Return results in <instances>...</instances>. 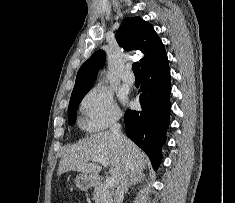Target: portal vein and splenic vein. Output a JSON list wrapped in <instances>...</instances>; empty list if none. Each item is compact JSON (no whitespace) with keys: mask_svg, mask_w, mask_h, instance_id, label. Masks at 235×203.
I'll return each instance as SVG.
<instances>
[{"mask_svg":"<svg viewBox=\"0 0 235 203\" xmlns=\"http://www.w3.org/2000/svg\"><path fill=\"white\" fill-rule=\"evenodd\" d=\"M92 161L101 163L105 167L108 166V162L105 159H103L102 157H94V158H92ZM113 186H114V178L113 177H108L105 180L104 187L106 189H109V188H112Z\"/></svg>","mask_w":235,"mask_h":203,"instance_id":"obj_1","label":"portal vein and splenic vein"}]
</instances>
